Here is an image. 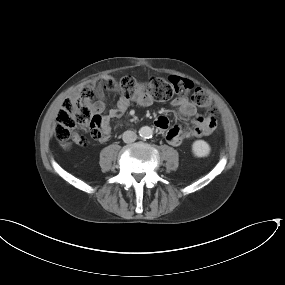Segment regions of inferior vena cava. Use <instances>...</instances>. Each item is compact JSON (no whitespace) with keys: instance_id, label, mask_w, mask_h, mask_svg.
<instances>
[{"instance_id":"1","label":"inferior vena cava","mask_w":285,"mask_h":285,"mask_svg":"<svg viewBox=\"0 0 285 285\" xmlns=\"http://www.w3.org/2000/svg\"><path fill=\"white\" fill-rule=\"evenodd\" d=\"M122 139L125 143H132L137 139V134L134 131L127 130L123 133Z\"/></svg>"}]
</instances>
